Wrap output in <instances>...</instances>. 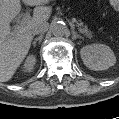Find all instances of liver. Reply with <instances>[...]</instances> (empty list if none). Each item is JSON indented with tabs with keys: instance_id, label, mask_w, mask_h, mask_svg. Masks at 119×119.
Segmentation results:
<instances>
[{
	"instance_id": "6515ba94",
	"label": "liver",
	"mask_w": 119,
	"mask_h": 119,
	"mask_svg": "<svg viewBox=\"0 0 119 119\" xmlns=\"http://www.w3.org/2000/svg\"><path fill=\"white\" fill-rule=\"evenodd\" d=\"M22 1L28 6H37L34 17L31 23L11 33L10 22L21 10L20 0H0V82L12 78L29 51L33 27L47 21L51 14L50 7L41 6L49 0Z\"/></svg>"
}]
</instances>
